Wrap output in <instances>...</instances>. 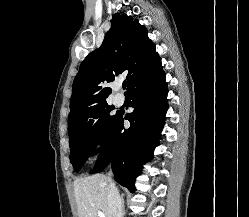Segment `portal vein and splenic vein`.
Returning <instances> with one entry per match:
<instances>
[{
    "label": "portal vein and splenic vein",
    "instance_id": "18ae733b",
    "mask_svg": "<svg viewBox=\"0 0 249 217\" xmlns=\"http://www.w3.org/2000/svg\"><path fill=\"white\" fill-rule=\"evenodd\" d=\"M98 216L99 217H106L105 214L103 212H101V211H98Z\"/></svg>",
    "mask_w": 249,
    "mask_h": 217
}]
</instances>
